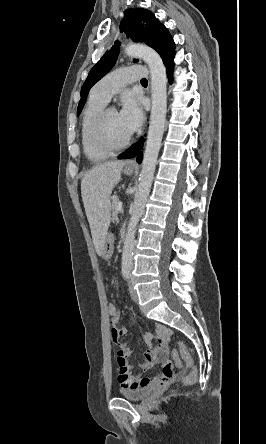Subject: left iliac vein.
<instances>
[{"mask_svg":"<svg viewBox=\"0 0 266 444\" xmlns=\"http://www.w3.org/2000/svg\"><path fill=\"white\" fill-rule=\"evenodd\" d=\"M129 291H130L131 299L133 301L137 302L138 301L137 291L135 290V288H134L132 283H129Z\"/></svg>","mask_w":266,"mask_h":444,"instance_id":"1","label":"left iliac vein"}]
</instances>
